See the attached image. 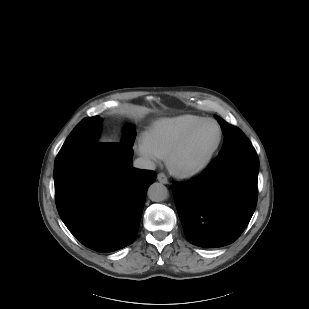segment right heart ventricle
Returning a JSON list of instances; mask_svg holds the SVG:
<instances>
[{
  "label": "right heart ventricle",
  "instance_id": "obj_1",
  "mask_svg": "<svg viewBox=\"0 0 309 309\" xmlns=\"http://www.w3.org/2000/svg\"><path fill=\"white\" fill-rule=\"evenodd\" d=\"M203 118L181 115L154 122L144 133V141L158 158H167L176 143Z\"/></svg>",
  "mask_w": 309,
  "mask_h": 309
}]
</instances>
